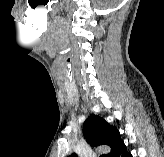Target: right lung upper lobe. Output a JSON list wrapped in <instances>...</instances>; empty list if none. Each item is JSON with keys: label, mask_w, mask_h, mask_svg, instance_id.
<instances>
[{"label": "right lung upper lobe", "mask_w": 164, "mask_h": 157, "mask_svg": "<svg viewBox=\"0 0 164 157\" xmlns=\"http://www.w3.org/2000/svg\"><path fill=\"white\" fill-rule=\"evenodd\" d=\"M83 133L88 143L92 146H109L111 151L108 153V157H113L114 153L123 142L117 128L97 115H91L84 122ZM68 157H77V155L73 153Z\"/></svg>", "instance_id": "right-lung-upper-lobe-1"}]
</instances>
